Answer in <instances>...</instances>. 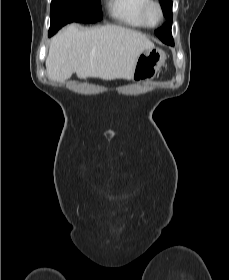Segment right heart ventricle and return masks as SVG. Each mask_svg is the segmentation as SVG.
<instances>
[{
    "instance_id": "e07e8e85",
    "label": "right heart ventricle",
    "mask_w": 229,
    "mask_h": 280,
    "mask_svg": "<svg viewBox=\"0 0 229 280\" xmlns=\"http://www.w3.org/2000/svg\"><path fill=\"white\" fill-rule=\"evenodd\" d=\"M148 0H108L110 16L118 23L132 28L147 27L142 19V10Z\"/></svg>"
}]
</instances>
